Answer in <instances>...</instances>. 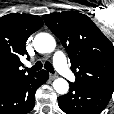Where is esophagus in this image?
Returning <instances> with one entry per match:
<instances>
[{"instance_id": "1", "label": "esophagus", "mask_w": 114, "mask_h": 114, "mask_svg": "<svg viewBox=\"0 0 114 114\" xmlns=\"http://www.w3.org/2000/svg\"><path fill=\"white\" fill-rule=\"evenodd\" d=\"M49 77H50V79H55V78H57V75L56 74H50Z\"/></svg>"}]
</instances>
